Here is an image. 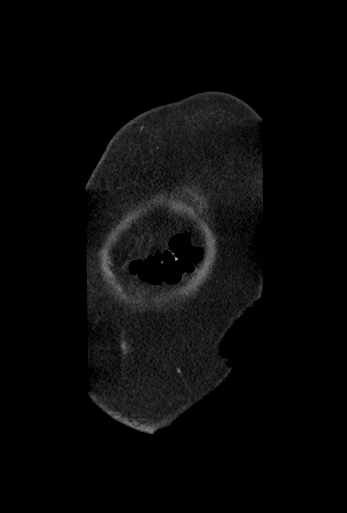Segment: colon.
Returning <instances> with one entry per match:
<instances>
[{
    "label": "colon",
    "mask_w": 347,
    "mask_h": 513,
    "mask_svg": "<svg viewBox=\"0 0 347 513\" xmlns=\"http://www.w3.org/2000/svg\"><path fill=\"white\" fill-rule=\"evenodd\" d=\"M199 253L185 236L172 240L169 250L156 253L143 262L133 265V270L149 284L176 283L198 260Z\"/></svg>",
    "instance_id": "5ec220e1"
}]
</instances>
